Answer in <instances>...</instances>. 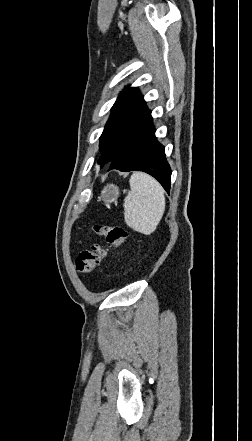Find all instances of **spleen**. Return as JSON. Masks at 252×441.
Wrapping results in <instances>:
<instances>
[{"label": "spleen", "instance_id": "1", "mask_svg": "<svg viewBox=\"0 0 252 441\" xmlns=\"http://www.w3.org/2000/svg\"><path fill=\"white\" fill-rule=\"evenodd\" d=\"M130 191L124 199V219L133 230L145 235L153 233L165 211L162 186L146 173L135 172Z\"/></svg>", "mask_w": 252, "mask_h": 441}]
</instances>
